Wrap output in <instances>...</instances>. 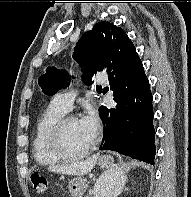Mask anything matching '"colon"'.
I'll return each instance as SVG.
<instances>
[{
	"mask_svg": "<svg viewBox=\"0 0 191 197\" xmlns=\"http://www.w3.org/2000/svg\"><path fill=\"white\" fill-rule=\"evenodd\" d=\"M31 182L33 184L34 190L38 194H44L49 188V183L47 179L37 173L31 175Z\"/></svg>",
	"mask_w": 191,
	"mask_h": 197,
	"instance_id": "obj_1",
	"label": "colon"
}]
</instances>
